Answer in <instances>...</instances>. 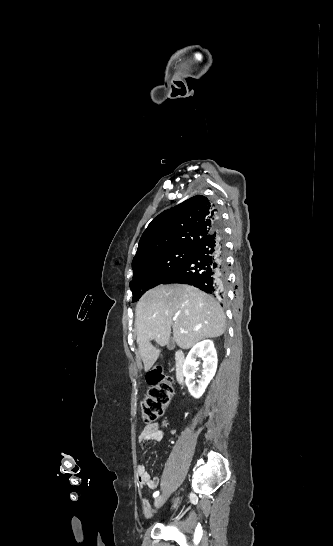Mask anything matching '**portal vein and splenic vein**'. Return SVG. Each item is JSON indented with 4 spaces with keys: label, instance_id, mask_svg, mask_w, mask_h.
Masks as SVG:
<instances>
[{
    "label": "portal vein and splenic vein",
    "instance_id": "18ae733b",
    "mask_svg": "<svg viewBox=\"0 0 333 546\" xmlns=\"http://www.w3.org/2000/svg\"><path fill=\"white\" fill-rule=\"evenodd\" d=\"M173 320H176V318H173ZM181 333H185V331H184V330H181Z\"/></svg>",
    "mask_w": 333,
    "mask_h": 546
}]
</instances>
